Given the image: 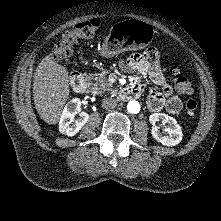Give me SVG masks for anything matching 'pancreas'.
Segmentation results:
<instances>
[{
	"mask_svg": "<svg viewBox=\"0 0 221 221\" xmlns=\"http://www.w3.org/2000/svg\"><path fill=\"white\" fill-rule=\"evenodd\" d=\"M88 78L95 80V83L93 84V90L96 94H102L108 91H112L113 84L107 79L106 71L96 76L89 74Z\"/></svg>",
	"mask_w": 221,
	"mask_h": 221,
	"instance_id": "pancreas-1",
	"label": "pancreas"
}]
</instances>
